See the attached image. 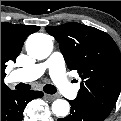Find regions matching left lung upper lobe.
I'll list each match as a JSON object with an SVG mask.
<instances>
[{"label":"left lung upper lobe","instance_id":"5c2ea615","mask_svg":"<svg viewBox=\"0 0 121 121\" xmlns=\"http://www.w3.org/2000/svg\"><path fill=\"white\" fill-rule=\"evenodd\" d=\"M46 29L60 43L68 67L82 77L76 99L109 115L121 89V56L114 40L99 29L79 23Z\"/></svg>","mask_w":121,"mask_h":121}]
</instances>
